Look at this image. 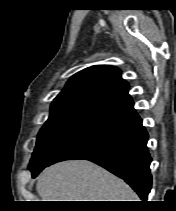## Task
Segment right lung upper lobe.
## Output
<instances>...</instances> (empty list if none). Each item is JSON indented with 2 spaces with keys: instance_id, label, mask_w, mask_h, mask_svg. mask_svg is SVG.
Wrapping results in <instances>:
<instances>
[{
  "instance_id": "1",
  "label": "right lung upper lobe",
  "mask_w": 176,
  "mask_h": 211,
  "mask_svg": "<svg viewBox=\"0 0 176 211\" xmlns=\"http://www.w3.org/2000/svg\"><path fill=\"white\" fill-rule=\"evenodd\" d=\"M129 85L121 71L96 65L73 75L51 104L50 116L100 123L134 110Z\"/></svg>"
}]
</instances>
